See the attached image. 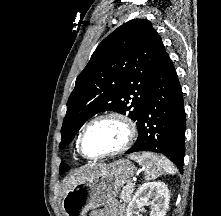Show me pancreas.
I'll return each mask as SVG.
<instances>
[{
    "label": "pancreas",
    "mask_w": 221,
    "mask_h": 216,
    "mask_svg": "<svg viewBox=\"0 0 221 216\" xmlns=\"http://www.w3.org/2000/svg\"><path fill=\"white\" fill-rule=\"evenodd\" d=\"M133 190H134V185L128 183L125 187H123V190L120 194V199L123 200L124 202H129L131 200Z\"/></svg>",
    "instance_id": "cf45deb5"
}]
</instances>
